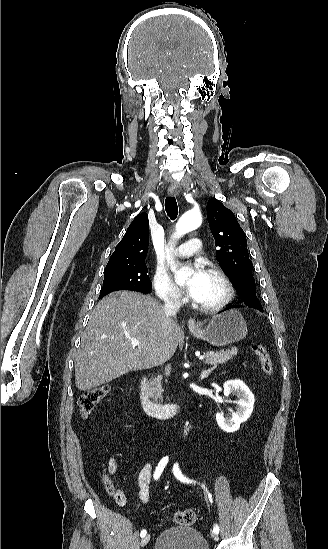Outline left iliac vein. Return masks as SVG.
<instances>
[{
    "label": "left iliac vein",
    "mask_w": 328,
    "mask_h": 549,
    "mask_svg": "<svg viewBox=\"0 0 328 549\" xmlns=\"http://www.w3.org/2000/svg\"><path fill=\"white\" fill-rule=\"evenodd\" d=\"M211 536H212V538H213L214 540H218V535H217V533L212 532Z\"/></svg>",
    "instance_id": "1"
}]
</instances>
